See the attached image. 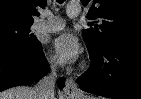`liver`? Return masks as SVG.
<instances>
[{
    "mask_svg": "<svg viewBox=\"0 0 141 99\" xmlns=\"http://www.w3.org/2000/svg\"><path fill=\"white\" fill-rule=\"evenodd\" d=\"M0 99H37L34 88L17 86L0 92ZM55 99V98H54Z\"/></svg>",
    "mask_w": 141,
    "mask_h": 99,
    "instance_id": "1",
    "label": "liver"
}]
</instances>
